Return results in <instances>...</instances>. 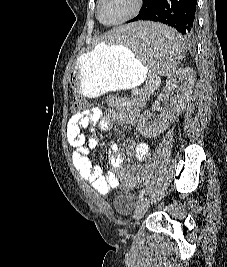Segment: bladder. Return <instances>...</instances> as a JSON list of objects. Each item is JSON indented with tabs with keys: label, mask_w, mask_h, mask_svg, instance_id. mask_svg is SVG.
I'll return each mask as SVG.
<instances>
[{
	"label": "bladder",
	"mask_w": 227,
	"mask_h": 267,
	"mask_svg": "<svg viewBox=\"0 0 227 267\" xmlns=\"http://www.w3.org/2000/svg\"><path fill=\"white\" fill-rule=\"evenodd\" d=\"M113 205L118 214L127 215L132 208V198L130 195H120L115 198Z\"/></svg>",
	"instance_id": "bladder-1"
}]
</instances>
